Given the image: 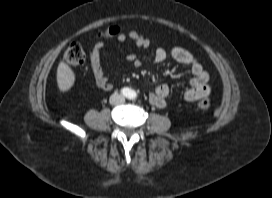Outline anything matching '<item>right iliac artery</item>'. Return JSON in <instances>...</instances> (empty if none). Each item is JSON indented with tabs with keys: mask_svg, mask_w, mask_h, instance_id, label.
Listing matches in <instances>:
<instances>
[{
	"mask_svg": "<svg viewBox=\"0 0 272 198\" xmlns=\"http://www.w3.org/2000/svg\"><path fill=\"white\" fill-rule=\"evenodd\" d=\"M121 93L124 95V96H128L129 95V89L128 88H123L121 90Z\"/></svg>",
	"mask_w": 272,
	"mask_h": 198,
	"instance_id": "obj_1",
	"label": "right iliac artery"
}]
</instances>
